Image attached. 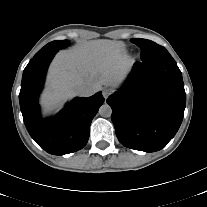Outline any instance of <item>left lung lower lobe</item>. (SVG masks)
I'll return each instance as SVG.
<instances>
[{"label":"left lung lower lobe","instance_id":"left-lung-lower-lobe-1","mask_svg":"<svg viewBox=\"0 0 207 207\" xmlns=\"http://www.w3.org/2000/svg\"><path fill=\"white\" fill-rule=\"evenodd\" d=\"M107 103L121 144L139 151H158L175 136L184 116L181 71L172 57L136 62Z\"/></svg>","mask_w":207,"mask_h":207}]
</instances>
